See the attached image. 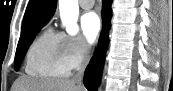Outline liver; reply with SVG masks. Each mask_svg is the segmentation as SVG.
Wrapping results in <instances>:
<instances>
[{"instance_id":"liver-1","label":"liver","mask_w":173,"mask_h":91,"mask_svg":"<svg viewBox=\"0 0 173 91\" xmlns=\"http://www.w3.org/2000/svg\"><path fill=\"white\" fill-rule=\"evenodd\" d=\"M12 91H84L73 80L19 77Z\"/></svg>"}]
</instances>
